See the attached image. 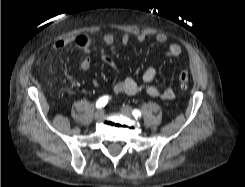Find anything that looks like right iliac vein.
Listing matches in <instances>:
<instances>
[{
    "label": "right iliac vein",
    "mask_w": 245,
    "mask_h": 187,
    "mask_svg": "<svg viewBox=\"0 0 245 187\" xmlns=\"http://www.w3.org/2000/svg\"><path fill=\"white\" fill-rule=\"evenodd\" d=\"M103 115H104L103 110H98V111L95 112L93 118L95 120H99V119H101L103 117Z\"/></svg>",
    "instance_id": "1"
}]
</instances>
